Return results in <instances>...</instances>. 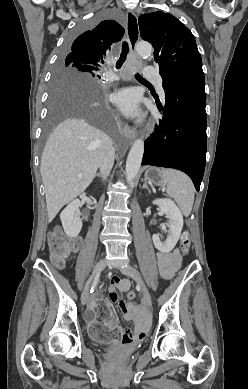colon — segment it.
Wrapping results in <instances>:
<instances>
[{"mask_svg": "<svg viewBox=\"0 0 248 389\" xmlns=\"http://www.w3.org/2000/svg\"><path fill=\"white\" fill-rule=\"evenodd\" d=\"M190 234L185 231L181 235V250L187 254L190 248ZM78 241L75 239L66 238L59 230H55L49 237V249L51 261L57 267H62L68 258L69 254L77 249ZM136 294L133 290L127 293V298L133 300ZM95 312L94 317L96 322H90V336L97 340L98 344H118L121 339V331L118 326H106V322H110L109 315L110 307L107 301H104L103 294L99 293L94 298Z\"/></svg>", "mask_w": 248, "mask_h": 389, "instance_id": "5ec220e1", "label": "colon"}]
</instances>
